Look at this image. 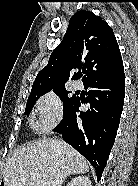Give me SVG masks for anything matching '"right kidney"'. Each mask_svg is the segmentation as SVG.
<instances>
[{
  "mask_svg": "<svg viewBox=\"0 0 138 186\" xmlns=\"http://www.w3.org/2000/svg\"><path fill=\"white\" fill-rule=\"evenodd\" d=\"M67 186H91V181L88 177L78 176L72 179Z\"/></svg>",
  "mask_w": 138,
  "mask_h": 186,
  "instance_id": "1",
  "label": "right kidney"
}]
</instances>
